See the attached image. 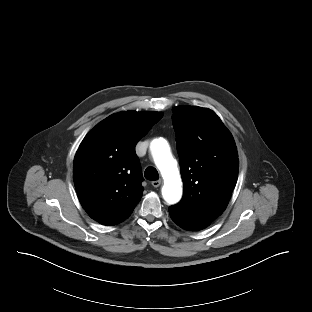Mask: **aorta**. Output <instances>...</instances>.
I'll list each match as a JSON object with an SVG mask.
<instances>
[{
  "label": "aorta",
  "mask_w": 312,
  "mask_h": 312,
  "mask_svg": "<svg viewBox=\"0 0 312 312\" xmlns=\"http://www.w3.org/2000/svg\"><path fill=\"white\" fill-rule=\"evenodd\" d=\"M154 161L164 178L163 198L169 204L177 203L182 196V182L176 160L163 138L154 139L150 146Z\"/></svg>",
  "instance_id": "762f6f07"
}]
</instances>
